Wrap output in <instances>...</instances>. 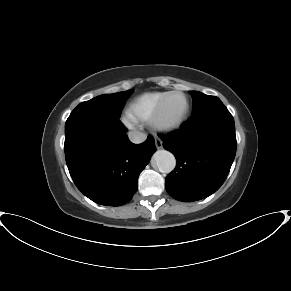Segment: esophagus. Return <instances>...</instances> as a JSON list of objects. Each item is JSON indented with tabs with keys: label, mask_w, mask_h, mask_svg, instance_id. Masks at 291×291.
I'll use <instances>...</instances> for the list:
<instances>
[{
	"label": "esophagus",
	"mask_w": 291,
	"mask_h": 291,
	"mask_svg": "<svg viewBox=\"0 0 291 291\" xmlns=\"http://www.w3.org/2000/svg\"><path fill=\"white\" fill-rule=\"evenodd\" d=\"M155 146L157 149H162L163 148V144L162 141L158 138L155 139Z\"/></svg>",
	"instance_id": "1"
}]
</instances>
